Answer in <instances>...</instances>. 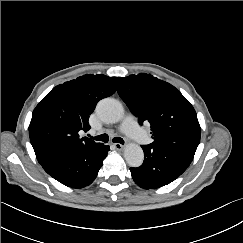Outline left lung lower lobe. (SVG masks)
<instances>
[{
    "label": "left lung lower lobe",
    "instance_id": "obj_1",
    "mask_svg": "<svg viewBox=\"0 0 243 243\" xmlns=\"http://www.w3.org/2000/svg\"><path fill=\"white\" fill-rule=\"evenodd\" d=\"M144 162L130 168L135 183L144 189H154L177 179L190 165L196 149L178 146L143 145Z\"/></svg>",
    "mask_w": 243,
    "mask_h": 243
}]
</instances>
